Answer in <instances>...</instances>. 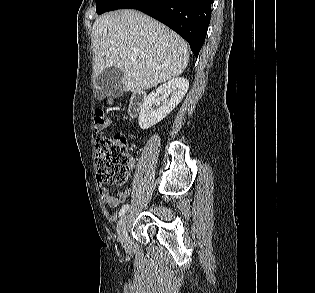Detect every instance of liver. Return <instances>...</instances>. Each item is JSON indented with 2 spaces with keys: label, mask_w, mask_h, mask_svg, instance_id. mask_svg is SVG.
I'll list each match as a JSON object with an SVG mask.
<instances>
[{
  "label": "liver",
  "mask_w": 315,
  "mask_h": 293,
  "mask_svg": "<svg viewBox=\"0 0 315 293\" xmlns=\"http://www.w3.org/2000/svg\"><path fill=\"white\" fill-rule=\"evenodd\" d=\"M92 34L96 77L106 68H120L125 92L136 93L170 81L183 73L189 61L188 45L179 35L135 10L97 18ZM96 89H101L98 84ZM107 93L103 89V95Z\"/></svg>",
  "instance_id": "liver-1"
}]
</instances>
